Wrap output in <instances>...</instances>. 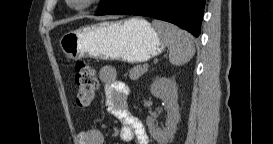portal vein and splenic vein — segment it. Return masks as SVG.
<instances>
[{"mask_svg": "<svg viewBox=\"0 0 273 144\" xmlns=\"http://www.w3.org/2000/svg\"><path fill=\"white\" fill-rule=\"evenodd\" d=\"M145 68H147V69H148V64H146V65H145Z\"/></svg>", "mask_w": 273, "mask_h": 144, "instance_id": "1", "label": "portal vein and splenic vein"}]
</instances>
